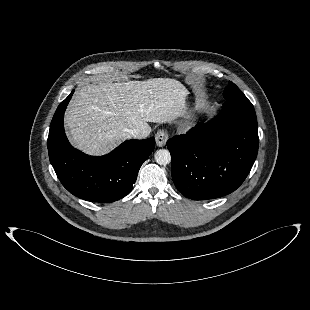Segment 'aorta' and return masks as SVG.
<instances>
[{"label":"aorta","mask_w":310,"mask_h":310,"mask_svg":"<svg viewBox=\"0 0 310 310\" xmlns=\"http://www.w3.org/2000/svg\"><path fill=\"white\" fill-rule=\"evenodd\" d=\"M155 161L159 165H167L171 161V155L170 152L167 149H159L156 151L155 155Z\"/></svg>","instance_id":"1"}]
</instances>
